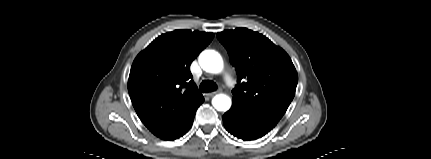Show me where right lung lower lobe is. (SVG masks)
Here are the masks:
<instances>
[{"mask_svg": "<svg viewBox=\"0 0 431 159\" xmlns=\"http://www.w3.org/2000/svg\"><path fill=\"white\" fill-rule=\"evenodd\" d=\"M203 102H204V98H202L196 105H194L187 113V115L183 118V120L180 122V124L172 132L166 135L163 139L174 140L183 136L192 126L196 110Z\"/></svg>", "mask_w": 431, "mask_h": 159, "instance_id": "right-lung-lower-lobe-1", "label": "right lung lower lobe"}]
</instances>
